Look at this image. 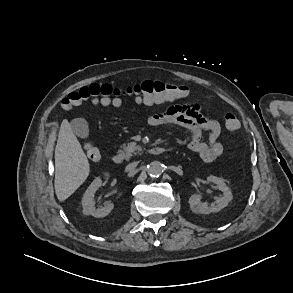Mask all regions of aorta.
I'll return each instance as SVG.
<instances>
[{"label": "aorta", "mask_w": 293, "mask_h": 293, "mask_svg": "<svg viewBox=\"0 0 293 293\" xmlns=\"http://www.w3.org/2000/svg\"><path fill=\"white\" fill-rule=\"evenodd\" d=\"M163 171L164 165L159 161H153L147 167V172L151 177H159Z\"/></svg>", "instance_id": "aorta-1"}]
</instances>
